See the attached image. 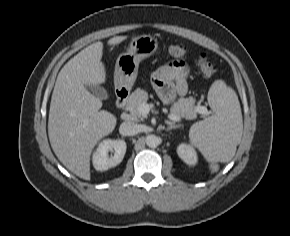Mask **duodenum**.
Returning a JSON list of instances; mask_svg holds the SVG:
<instances>
[{"label": "duodenum", "instance_id": "obj_1", "mask_svg": "<svg viewBox=\"0 0 290 236\" xmlns=\"http://www.w3.org/2000/svg\"><path fill=\"white\" fill-rule=\"evenodd\" d=\"M129 97V91L125 88H119L116 91V101H115V106L117 109H122Z\"/></svg>", "mask_w": 290, "mask_h": 236}]
</instances>
